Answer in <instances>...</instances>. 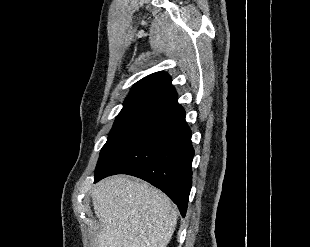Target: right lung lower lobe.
<instances>
[{
	"instance_id": "98d812e1",
	"label": "right lung lower lobe",
	"mask_w": 310,
	"mask_h": 247,
	"mask_svg": "<svg viewBox=\"0 0 310 247\" xmlns=\"http://www.w3.org/2000/svg\"><path fill=\"white\" fill-rule=\"evenodd\" d=\"M194 149L180 104L145 123L101 168L95 182L114 174H129L161 189L184 217L192 186Z\"/></svg>"
}]
</instances>
